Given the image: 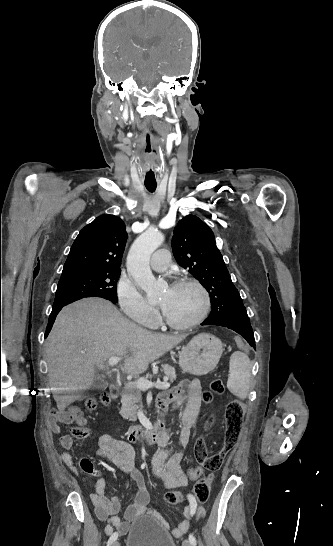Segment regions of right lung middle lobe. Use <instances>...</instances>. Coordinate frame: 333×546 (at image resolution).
I'll list each match as a JSON object with an SVG mask.
<instances>
[{"instance_id": "dd1d6c3e", "label": "right lung middle lobe", "mask_w": 333, "mask_h": 546, "mask_svg": "<svg viewBox=\"0 0 333 546\" xmlns=\"http://www.w3.org/2000/svg\"><path fill=\"white\" fill-rule=\"evenodd\" d=\"M120 272L112 270L61 275L53 307L65 306L85 297H101L116 303Z\"/></svg>"}]
</instances>
